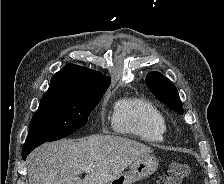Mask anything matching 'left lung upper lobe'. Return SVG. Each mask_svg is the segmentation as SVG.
<instances>
[{"mask_svg":"<svg viewBox=\"0 0 224 184\" xmlns=\"http://www.w3.org/2000/svg\"><path fill=\"white\" fill-rule=\"evenodd\" d=\"M147 87L153 95L163 102L168 108L173 109L179 115L184 113L182 102L175 85L158 72H150L146 78Z\"/></svg>","mask_w":224,"mask_h":184,"instance_id":"left-lung-upper-lobe-1","label":"left lung upper lobe"}]
</instances>
